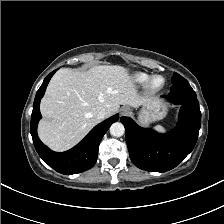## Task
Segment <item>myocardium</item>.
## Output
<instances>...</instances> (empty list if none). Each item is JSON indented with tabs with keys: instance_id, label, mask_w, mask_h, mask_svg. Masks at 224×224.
Returning <instances> with one entry per match:
<instances>
[{
	"instance_id": "f54148a6",
	"label": "myocardium",
	"mask_w": 224,
	"mask_h": 224,
	"mask_svg": "<svg viewBox=\"0 0 224 224\" xmlns=\"http://www.w3.org/2000/svg\"><path fill=\"white\" fill-rule=\"evenodd\" d=\"M158 77L162 78L163 82L160 86H155L153 84V82ZM165 84H166L165 77L163 75L155 74V75L150 76L147 79V81L145 82V89L148 93L154 94V93H157V92L161 91L165 87Z\"/></svg>"
}]
</instances>
